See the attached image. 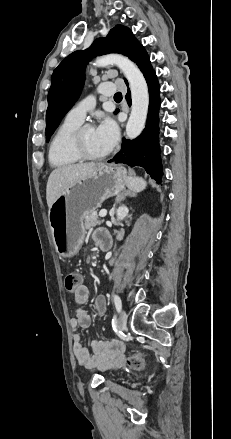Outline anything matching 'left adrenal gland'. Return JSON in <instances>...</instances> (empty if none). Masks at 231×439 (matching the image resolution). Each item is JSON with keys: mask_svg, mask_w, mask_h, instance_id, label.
<instances>
[{"mask_svg": "<svg viewBox=\"0 0 231 439\" xmlns=\"http://www.w3.org/2000/svg\"><path fill=\"white\" fill-rule=\"evenodd\" d=\"M125 196H132V197H134V196H136V194L132 193L131 191H125V192L121 193L120 195H118L117 201H121Z\"/></svg>", "mask_w": 231, "mask_h": 439, "instance_id": "a2214340", "label": "left adrenal gland"}]
</instances>
